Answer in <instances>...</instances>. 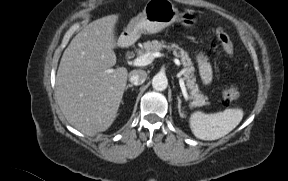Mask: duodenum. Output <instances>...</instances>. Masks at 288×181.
<instances>
[{
    "instance_id": "duodenum-1",
    "label": "duodenum",
    "mask_w": 288,
    "mask_h": 181,
    "mask_svg": "<svg viewBox=\"0 0 288 181\" xmlns=\"http://www.w3.org/2000/svg\"><path fill=\"white\" fill-rule=\"evenodd\" d=\"M121 44H122L123 46H125V45L127 44V39H126V38H123L122 41H121Z\"/></svg>"
}]
</instances>
